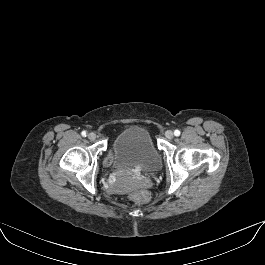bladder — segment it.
I'll return each mask as SVG.
<instances>
[{"instance_id": "obj_1", "label": "bladder", "mask_w": 265, "mask_h": 265, "mask_svg": "<svg viewBox=\"0 0 265 265\" xmlns=\"http://www.w3.org/2000/svg\"><path fill=\"white\" fill-rule=\"evenodd\" d=\"M109 164L114 171L141 167L156 172L161 166V156L153 145L147 129L129 126L120 131L109 147Z\"/></svg>"}]
</instances>
